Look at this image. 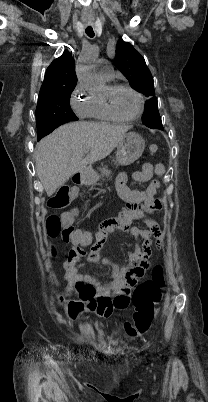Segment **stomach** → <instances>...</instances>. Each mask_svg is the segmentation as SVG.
I'll return each instance as SVG.
<instances>
[{
	"mask_svg": "<svg viewBox=\"0 0 208 402\" xmlns=\"http://www.w3.org/2000/svg\"><path fill=\"white\" fill-rule=\"evenodd\" d=\"M145 148V142L142 136L135 134V132H129L123 138L122 142H119L116 152V164L119 166H129L133 164L135 160H138L142 156ZM99 180L98 174H89V176H83L82 182L85 186H92Z\"/></svg>",
	"mask_w": 208,
	"mask_h": 402,
	"instance_id": "obj_1",
	"label": "stomach"
}]
</instances>
